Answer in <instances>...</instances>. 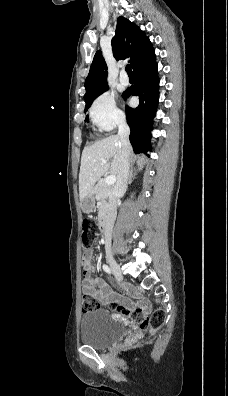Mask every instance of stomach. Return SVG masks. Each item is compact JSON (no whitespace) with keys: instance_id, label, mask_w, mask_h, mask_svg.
I'll return each mask as SVG.
<instances>
[{"instance_id":"1","label":"stomach","mask_w":228,"mask_h":396,"mask_svg":"<svg viewBox=\"0 0 228 396\" xmlns=\"http://www.w3.org/2000/svg\"><path fill=\"white\" fill-rule=\"evenodd\" d=\"M80 207L84 213H90L95 207V193L94 191L86 195L80 201Z\"/></svg>"}]
</instances>
